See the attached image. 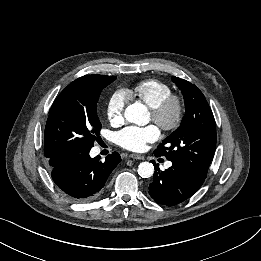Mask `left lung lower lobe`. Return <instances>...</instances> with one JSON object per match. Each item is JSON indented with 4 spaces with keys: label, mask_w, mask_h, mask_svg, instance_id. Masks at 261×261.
<instances>
[{
    "label": "left lung lower lobe",
    "mask_w": 261,
    "mask_h": 261,
    "mask_svg": "<svg viewBox=\"0 0 261 261\" xmlns=\"http://www.w3.org/2000/svg\"><path fill=\"white\" fill-rule=\"evenodd\" d=\"M154 168V180L149 185V194L155 202L167 206L177 205L190 198L205 180L174 162L165 171H161L156 163Z\"/></svg>",
    "instance_id": "left-lung-lower-lobe-1"
}]
</instances>
